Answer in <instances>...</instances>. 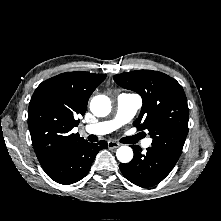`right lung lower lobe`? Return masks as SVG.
<instances>
[{
	"label": "right lung lower lobe",
	"mask_w": 221,
	"mask_h": 221,
	"mask_svg": "<svg viewBox=\"0 0 221 221\" xmlns=\"http://www.w3.org/2000/svg\"><path fill=\"white\" fill-rule=\"evenodd\" d=\"M107 146L106 141H100L98 144L86 141L43 169L52 180L60 184L78 182L89 172L97 153Z\"/></svg>",
	"instance_id": "98d812e1"
}]
</instances>
